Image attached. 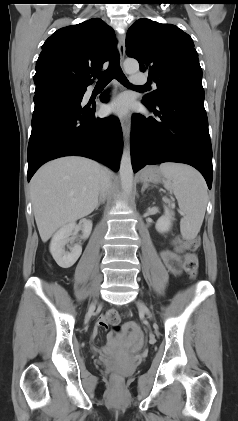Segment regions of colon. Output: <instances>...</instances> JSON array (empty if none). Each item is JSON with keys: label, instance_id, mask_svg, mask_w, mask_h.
Returning a JSON list of instances; mask_svg holds the SVG:
<instances>
[{"label": "colon", "instance_id": "colon-1", "mask_svg": "<svg viewBox=\"0 0 238 421\" xmlns=\"http://www.w3.org/2000/svg\"><path fill=\"white\" fill-rule=\"evenodd\" d=\"M183 244L188 250L184 255V269L189 275L193 278L196 276L199 266L198 257L195 254V251L200 247V238L198 236L183 237ZM110 322L115 327V331L118 335H122V329L118 326L120 322V317L118 313L111 314ZM112 382L115 386H119L122 382V377L118 374L112 376Z\"/></svg>", "mask_w": 238, "mask_h": 421}]
</instances>
